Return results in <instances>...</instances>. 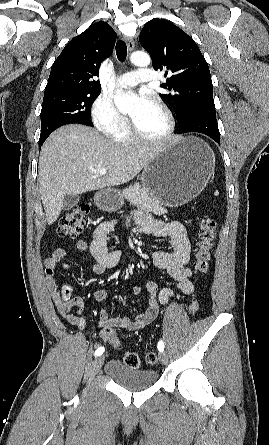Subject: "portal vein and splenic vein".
<instances>
[{
	"label": "portal vein and splenic vein",
	"instance_id": "1",
	"mask_svg": "<svg viewBox=\"0 0 269 445\" xmlns=\"http://www.w3.org/2000/svg\"><path fill=\"white\" fill-rule=\"evenodd\" d=\"M97 173H98L100 176H103V175H105V174L107 173V170H106L105 168H101V169H99V170L97 171Z\"/></svg>",
	"mask_w": 269,
	"mask_h": 445
}]
</instances>
